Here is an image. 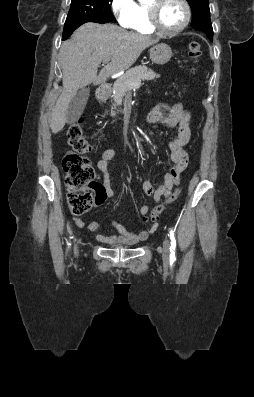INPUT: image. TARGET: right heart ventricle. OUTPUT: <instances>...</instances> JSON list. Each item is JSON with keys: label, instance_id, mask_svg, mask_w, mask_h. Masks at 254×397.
Segmentation results:
<instances>
[{"label": "right heart ventricle", "instance_id": "e07e8e85", "mask_svg": "<svg viewBox=\"0 0 254 397\" xmlns=\"http://www.w3.org/2000/svg\"><path fill=\"white\" fill-rule=\"evenodd\" d=\"M139 34H153L154 30L149 24L148 7L144 4H137L136 18L131 27Z\"/></svg>", "mask_w": 254, "mask_h": 397}]
</instances>
